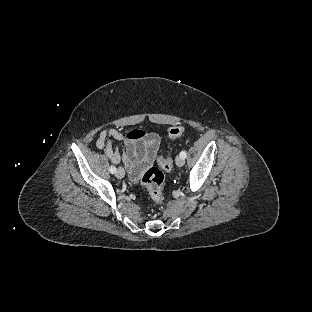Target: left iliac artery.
Wrapping results in <instances>:
<instances>
[{"mask_svg":"<svg viewBox=\"0 0 312 312\" xmlns=\"http://www.w3.org/2000/svg\"><path fill=\"white\" fill-rule=\"evenodd\" d=\"M180 156H181L183 159H185L186 156H187L186 151H182V152L180 153Z\"/></svg>","mask_w":312,"mask_h":312,"instance_id":"44dca946","label":"left iliac artery"}]
</instances>
